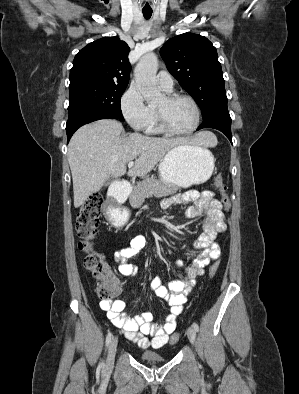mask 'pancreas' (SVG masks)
Wrapping results in <instances>:
<instances>
[{"label":"pancreas","instance_id":"cf45deb5","mask_svg":"<svg viewBox=\"0 0 299 394\" xmlns=\"http://www.w3.org/2000/svg\"><path fill=\"white\" fill-rule=\"evenodd\" d=\"M178 190L176 186H167L161 180L155 178H147L134 187L130 197V204L133 207H139L143 204L145 198L155 196L163 197L174 194Z\"/></svg>","mask_w":299,"mask_h":394}]
</instances>
